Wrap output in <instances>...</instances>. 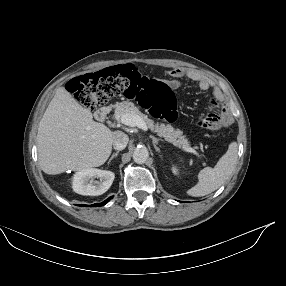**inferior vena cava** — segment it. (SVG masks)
Listing matches in <instances>:
<instances>
[{
  "label": "inferior vena cava",
  "instance_id": "1",
  "mask_svg": "<svg viewBox=\"0 0 286 286\" xmlns=\"http://www.w3.org/2000/svg\"><path fill=\"white\" fill-rule=\"evenodd\" d=\"M129 138L127 134L121 131L115 132L113 147L116 150H123L128 144Z\"/></svg>",
  "mask_w": 286,
  "mask_h": 286
}]
</instances>
